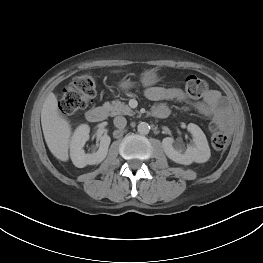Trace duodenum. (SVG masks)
Returning <instances> with one entry per match:
<instances>
[{
	"label": "duodenum",
	"instance_id": "obj_1",
	"mask_svg": "<svg viewBox=\"0 0 263 263\" xmlns=\"http://www.w3.org/2000/svg\"><path fill=\"white\" fill-rule=\"evenodd\" d=\"M155 116L166 118L169 115V110L163 109L156 111ZM107 109L105 107H93L86 112V119L91 123H99L106 119Z\"/></svg>",
	"mask_w": 263,
	"mask_h": 263
}]
</instances>
